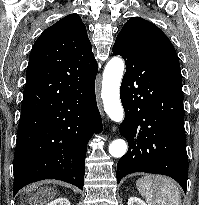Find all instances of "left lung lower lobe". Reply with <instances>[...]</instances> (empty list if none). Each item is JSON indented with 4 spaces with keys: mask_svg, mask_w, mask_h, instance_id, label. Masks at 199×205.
I'll return each mask as SVG.
<instances>
[{
    "mask_svg": "<svg viewBox=\"0 0 199 205\" xmlns=\"http://www.w3.org/2000/svg\"><path fill=\"white\" fill-rule=\"evenodd\" d=\"M126 73L120 88L125 119L120 134L129 144L117 163V183L134 172L162 174L187 189L188 158L182 89L173 85L154 62L125 42L116 40Z\"/></svg>",
    "mask_w": 199,
    "mask_h": 205,
    "instance_id": "left-lung-lower-lobe-1",
    "label": "left lung lower lobe"
}]
</instances>
